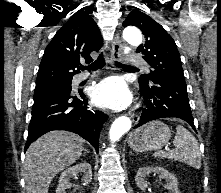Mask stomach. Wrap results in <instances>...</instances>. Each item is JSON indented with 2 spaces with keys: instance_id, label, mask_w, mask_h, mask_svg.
<instances>
[{
  "instance_id": "obj_1",
  "label": "stomach",
  "mask_w": 221,
  "mask_h": 193,
  "mask_svg": "<svg viewBox=\"0 0 221 193\" xmlns=\"http://www.w3.org/2000/svg\"><path fill=\"white\" fill-rule=\"evenodd\" d=\"M170 137L169 127L165 123L155 120L131 132L128 145L138 152L158 150L169 141Z\"/></svg>"
}]
</instances>
